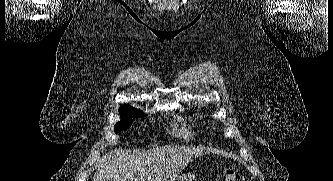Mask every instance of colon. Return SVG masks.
<instances>
[{"label": "colon", "instance_id": "1", "mask_svg": "<svg viewBox=\"0 0 333 181\" xmlns=\"http://www.w3.org/2000/svg\"><path fill=\"white\" fill-rule=\"evenodd\" d=\"M224 181H238L236 173L231 169L224 170Z\"/></svg>", "mask_w": 333, "mask_h": 181}]
</instances>
